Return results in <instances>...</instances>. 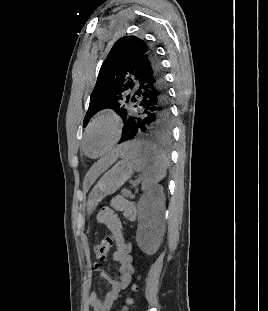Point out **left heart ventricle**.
Here are the masks:
<instances>
[{"instance_id": "left-heart-ventricle-1", "label": "left heart ventricle", "mask_w": 268, "mask_h": 311, "mask_svg": "<svg viewBox=\"0 0 268 311\" xmlns=\"http://www.w3.org/2000/svg\"><path fill=\"white\" fill-rule=\"evenodd\" d=\"M113 135V127L109 122H101L93 128L86 140L87 151L91 155L101 153Z\"/></svg>"}]
</instances>
